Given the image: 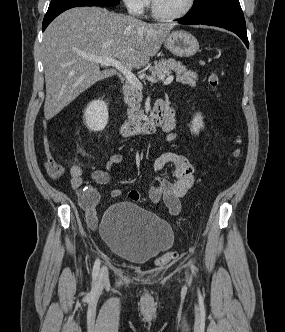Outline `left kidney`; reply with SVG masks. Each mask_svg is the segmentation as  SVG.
Masks as SVG:
<instances>
[{
    "instance_id": "5707ae66",
    "label": "left kidney",
    "mask_w": 285,
    "mask_h": 332,
    "mask_svg": "<svg viewBox=\"0 0 285 332\" xmlns=\"http://www.w3.org/2000/svg\"><path fill=\"white\" fill-rule=\"evenodd\" d=\"M203 127H204V124L202 121V117L200 114H197L192 120L191 132H193L194 134H198L200 129Z\"/></svg>"
}]
</instances>
